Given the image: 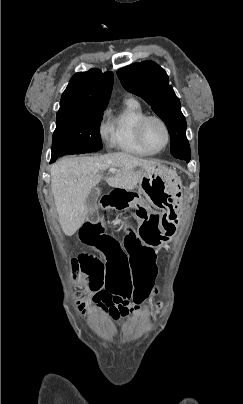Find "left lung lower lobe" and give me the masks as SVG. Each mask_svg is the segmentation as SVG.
Here are the masks:
<instances>
[{
  "label": "left lung lower lobe",
  "instance_id": "1",
  "mask_svg": "<svg viewBox=\"0 0 243 404\" xmlns=\"http://www.w3.org/2000/svg\"><path fill=\"white\" fill-rule=\"evenodd\" d=\"M179 159H183V160H185L186 162H189V161H190V158H179Z\"/></svg>",
  "mask_w": 243,
  "mask_h": 404
}]
</instances>
